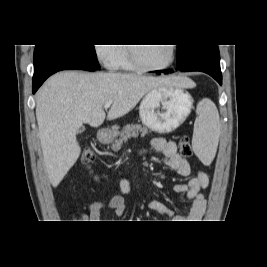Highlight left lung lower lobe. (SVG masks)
I'll list each match as a JSON object with an SVG mask.
<instances>
[{
	"label": "left lung lower lobe",
	"instance_id": "0a47b994",
	"mask_svg": "<svg viewBox=\"0 0 267 267\" xmlns=\"http://www.w3.org/2000/svg\"><path fill=\"white\" fill-rule=\"evenodd\" d=\"M182 72L200 71L212 76L222 85V73L220 69V54L217 47L205 49L193 56L185 65L178 67ZM173 73V70L155 71V73Z\"/></svg>",
	"mask_w": 267,
	"mask_h": 267
}]
</instances>
